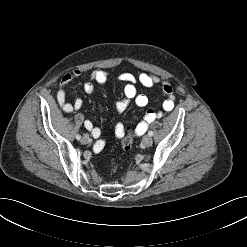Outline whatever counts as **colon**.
<instances>
[{
    "mask_svg": "<svg viewBox=\"0 0 247 247\" xmlns=\"http://www.w3.org/2000/svg\"><path fill=\"white\" fill-rule=\"evenodd\" d=\"M121 138H122L121 141L122 149L125 153H128L132 148L134 131L131 128H127L126 132H124V135Z\"/></svg>",
    "mask_w": 247,
    "mask_h": 247,
    "instance_id": "5ec220e1",
    "label": "colon"
}]
</instances>
